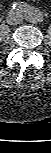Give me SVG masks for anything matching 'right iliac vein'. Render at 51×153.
Returning a JSON list of instances; mask_svg holds the SVG:
<instances>
[{
  "label": "right iliac vein",
  "mask_w": 51,
  "mask_h": 153,
  "mask_svg": "<svg viewBox=\"0 0 51 153\" xmlns=\"http://www.w3.org/2000/svg\"><path fill=\"white\" fill-rule=\"evenodd\" d=\"M13 19V16L12 15H9L8 16V20L10 21V20H12Z\"/></svg>",
  "instance_id": "1"
}]
</instances>
